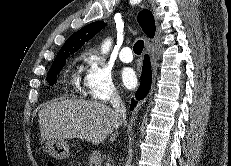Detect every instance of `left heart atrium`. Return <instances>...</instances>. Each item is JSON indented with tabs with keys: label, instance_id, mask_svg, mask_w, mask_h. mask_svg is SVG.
Returning a JSON list of instances; mask_svg holds the SVG:
<instances>
[{
	"label": "left heart atrium",
	"instance_id": "39dd6f15",
	"mask_svg": "<svg viewBox=\"0 0 231 166\" xmlns=\"http://www.w3.org/2000/svg\"><path fill=\"white\" fill-rule=\"evenodd\" d=\"M121 80L123 85L128 88H134L137 84L135 72L131 68H125L121 72Z\"/></svg>",
	"mask_w": 231,
	"mask_h": 166
}]
</instances>
